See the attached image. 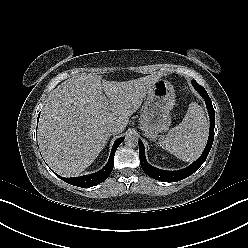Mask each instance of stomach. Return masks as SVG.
<instances>
[{
  "label": "stomach",
  "instance_id": "stomach-1",
  "mask_svg": "<svg viewBox=\"0 0 248 248\" xmlns=\"http://www.w3.org/2000/svg\"><path fill=\"white\" fill-rule=\"evenodd\" d=\"M175 98L173 85L165 79L157 80L148 91L140 119L141 129L147 137L155 139L159 133L168 130Z\"/></svg>",
  "mask_w": 248,
  "mask_h": 248
}]
</instances>
